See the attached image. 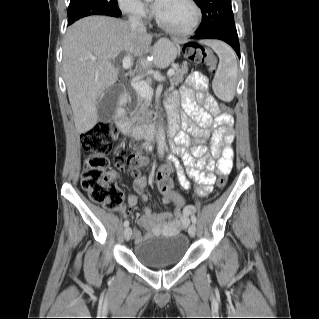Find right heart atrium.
Listing matches in <instances>:
<instances>
[{
	"label": "right heart atrium",
	"instance_id": "1",
	"mask_svg": "<svg viewBox=\"0 0 319 319\" xmlns=\"http://www.w3.org/2000/svg\"><path fill=\"white\" fill-rule=\"evenodd\" d=\"M121 10L128 14L139 18H145L149 14L148 8L141 0H117Z\"/></svg>",
	"mask_w": 319,
	"mask_h": 319
}]
</instances>
